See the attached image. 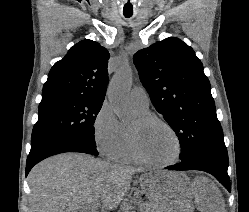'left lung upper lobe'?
<instances>
[{
	"mask_svg": "<svg viewBox=\"0 0 249 212\" xmlns=\"http://www.w3.org/2000/svg\"><path fill=\"white\" fill-rule=\"evenodd\" d=\"M133 59L153 105L179 138L181 160L224 140L209 80L190 46L169 37L139 50Z\"/></svg>",
	"mask_w": 249,
	"mask_h": 212,
	"instance_id": "5c2ea615",
	"label": "left lung upper lobe"
}]
</instances>
